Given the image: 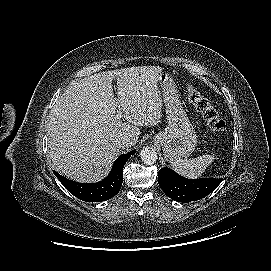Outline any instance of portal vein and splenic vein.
<instances>
[{"label": "portal vein and splenic vein", "mask_w": 271, "mask_h": 271, "mask_svg": "<svg viewBox=\"0 0 271 271\" xmlns=\"http://www.w3.org/2000/svg\"><path fill=\"white\" fill-rule=\"evenodd\" d=\"M122 117V113L118 111V113L115 115V119L119 120Z\"/></svg>", "instance_id": "1"}]
</instances>
